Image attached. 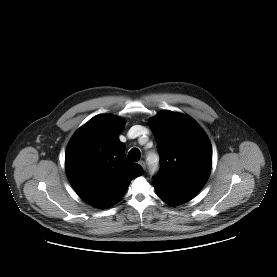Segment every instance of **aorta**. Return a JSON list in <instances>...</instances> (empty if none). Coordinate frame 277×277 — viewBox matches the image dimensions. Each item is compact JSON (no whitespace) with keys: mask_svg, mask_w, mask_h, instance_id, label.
<instances>
[{"mask_svg":"<svg viewBox=\"0 0 277 277\" xmlns=\"http://www.w3.org/2000/svg\"><path fill=\"white\" fill-rule=\"evenodd\" d=\"M150 157H154L155 158L154 163H150L149 160H148V163H149V166H150V171H151V173H154L158 169V157L155 154H150L148 156V159Z\"/></svg>","mask_w":277,"mask_h":277,"instance_id":"obj_1","label":"aorta"}]
</instances>
